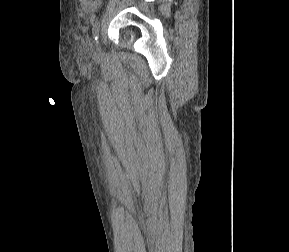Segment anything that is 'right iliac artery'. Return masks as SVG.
<instances>
[{
  "label": "right iliac artery",
  "mask_w": 289,
  "mask_h": 252,
  "mask_svg": "<svg viewBox=\"0 0 289 252\" xmlns=\"http://www.w3.org/2000/svg\"><path fill=\"white\" fill-rule=\"evenodd\" d=\"M92 20L94 21L95 17H93ZM99 30H100V22L98 20H95L93 23L92 33H93V38L96 44L98 43Z\"/></svg>",
  "instance_id": "right-iliac-artery-1"
}]
</instances>
